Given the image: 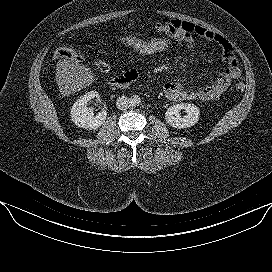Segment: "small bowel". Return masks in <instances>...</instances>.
Returning <instances> with one entry per match:
<instances>
[{"label":"small bowel","instance_id":"1","mask_svg":"<svg viewBox=\"0 0 272 272\" xmlns=\"http://www.w3.org/2000/svg\"><path fill=\"white\" fill-rule=\"evenodd\" d=\"M156 30L167 34L178 47L188 51L194 48V36L213 42L221 49L222 61L226 65L209 85L202 88H186L177 81L166 83L164 85V93L168 99L176 102L187 100L213 101L226 92L233 80L239 78L241 71L235 51L231 43L223 35L202 25L182 20L158 23ZM123 35L130 37L144 36L141 32L135 30H125ZM126 74L136 77V72L133 70L128 71Z\"/></svg>","mask_w":272,"mask_h":272}]
</instances>
